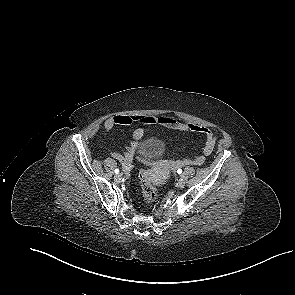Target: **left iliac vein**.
Segmentation results:
<instances>
[{"label":"left iliac vein","instance_id":"left-iliac-vein-1","mask_svg":"<svg viewBox=\"0 0 295 295\" xmlns=\"http://www.w3.org/2000/svg\"><path fill=\"white\" fill-rule=\"evenodd\" d=\"M178 185H179L180 187H183V186L185 185V179H184V178H180V179L178 180Z\"/></svg>","mask_w":295,"mask_h":295}]
</instances>
